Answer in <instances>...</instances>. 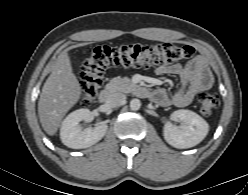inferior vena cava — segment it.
<instances>
[{
    "instance_id": "602c4592",
    "label": "inferior vena cava",
    "mask_w": 248,
    "mask_h": 195,
    "mask_svg": "<svg viewBox=\"0 0 248 195\" xmlns=\"http://www.w3.org/2000/svg\"><path fill=\"white\" fill-rule=\"evenodd\" d=\"M125 100H126V96L124 94L113 93L108 97L106 103L109 107L114 108V107H117V106L123 104L125 102Z\"/></svg>"
}]
</instances>
